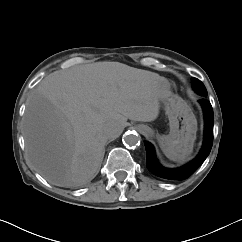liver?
<instances>
[{
    "mask_svg": "<svg viewBox=\"0 0 242 242\" xmlns=\"http://www.w3.org/2000/svg\"><path fill=\"white\" fill-rule=\"evenodd\" d=\"M169 81L119 62L55 71L28 97L23 135L28 158L48 182L61 187L92 180L102 161L108 126L127 119L150 122ZM121 131V133H122Z\"/></svg>",
    "mask_w": 242,
    "mask_h": 242,
    "instance_id": "6515ba94",
    "label": "liver"
}]
</instances>
